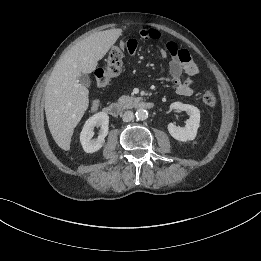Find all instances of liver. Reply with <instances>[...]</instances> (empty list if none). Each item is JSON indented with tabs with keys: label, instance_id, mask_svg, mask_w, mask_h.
<instances>
[{
	"label": "liver",
	"instance_id": "liver-1",
	"mask_svg": "<svg viewBox=\"0 0 261 261\" xmlns=\"http://www.w3.org/2000/svg\"><path fill=\"white\" fill-rule=\"evenodd\" d=\"M122 29H110L83 39L56 63L45 88V114L50 133L63 150L70 149L71 137L89 104V91L79 82L92 73Z\"/></svg>",
	"mask_w": 261,
	"mask_h": 261
}]
</instances>
